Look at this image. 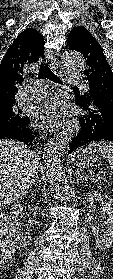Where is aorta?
Instances as JSON below:
<instances>
[{
    "label": "aorta",
    "instance_id": "762f6f07",
    "mask_svg": "<svg viewBox=\"0 0 113 279\" xmlns=\"http://www.w3.org/2000/svg\"><path fill=\"white\" fill-rule=\"evenodd\" d=\"M62 57L66 68L71 71L79 72L85 67V60L79 52L64 49ZM74 135L75 127H66L47 144L44 153L43 170L51 189L61 201L66 200L68 196L67 178L61 164V154L69 146Z\"/></svg>",
    "mask_w": 113,
    "mask_h": 279
}]
</instances>
